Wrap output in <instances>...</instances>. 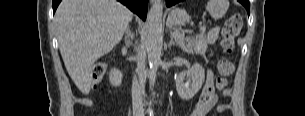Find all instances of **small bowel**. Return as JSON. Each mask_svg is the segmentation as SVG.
<instances>
[{
    "mask_svg": "<svg viewBox=\"0 0 305 116\" xmlns=\"http://www.w3.org/2000/svg\"><path fill=\"white\" fill-rule=\"evenodd\" d=\"M225 92V95H228ZM218 96L214 87V77L212 71L206 72V80L204 87L200 93L197 102L194 104L191 116H207L209 111L216 105ZM227 109L226 105H219L217 107L218 112H223Z\"/></svg>",
    "mask_w": 305,
    "mask_h": 116,
    "instance_id": "1",
    "label": "small bowel"
}]
</instances>
